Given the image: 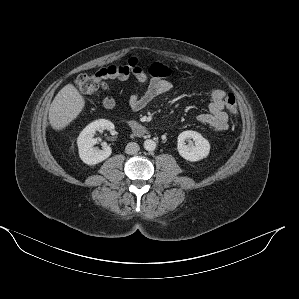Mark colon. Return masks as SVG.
I'll list each match as a JSON object with an SVG mask.
<instances>
[{"label":"colon","instance_id":"5ec220e1","mask_svg":"<svg viewBox=\"0 0 299 299\" xmlns=\"http://www.w3.org/2000/svg\"><path fill=\"white\" fill-rule=\"evenodd\" d=\"M119 70L113 67L102 69L94 74H80L74 79V85L82 95L92 94L107 86L108 80L116 77ZM225 105L230 114L236 115L238 108L235 95L231 92L225 96Z\"/></svg>","mask_w":299,"mask_h":299}]
</instances>
